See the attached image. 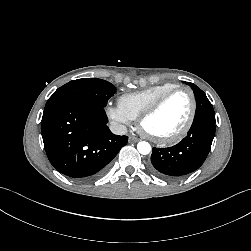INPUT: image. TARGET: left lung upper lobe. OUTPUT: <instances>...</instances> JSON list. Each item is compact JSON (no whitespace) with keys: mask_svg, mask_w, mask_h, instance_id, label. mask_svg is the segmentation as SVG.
I'll use <instances>...</instances> for the list:
<instances>
[{"mask_svg":"<svg viewBox=\"0 0 251 251\" xmlns=\"http://www.w3.org/2000/svg\"><path fill=\"white\" fill-rule=\"evenodd\" d=\"M189 85L194 91L195 96H196V101H197V108H196V113H195L194 118L202 116V115L215 116L212 104L208 100L206 94L200 88H198L195 84L189 83Z\"/></svg>","mask_w":251,"mask_h":251,"instance_id":"5c2ea615","label":"left lung upper lobe"}]
</instances>
